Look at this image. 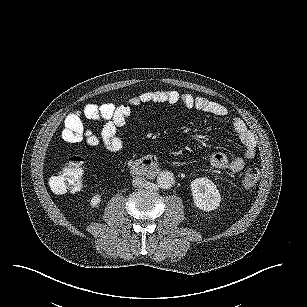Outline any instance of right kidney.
<instances>
[{
    "label": "right kidney",
    "instance_id": "1",
    "mask_svg": "<svg viewBox=\"0 0 307 307\" xmlns=\"http://www.w3.org/2000/svg\"><path fill=\"white\" fill-rule=\"evenodd\" d=\"M99 201H100V199H99V197H94L92 200H91V203L93 204V205H97L98 203H99Z\"/></svg>",
    "mask_w": 307,
    "mask_h": 307
}]
</instances>
